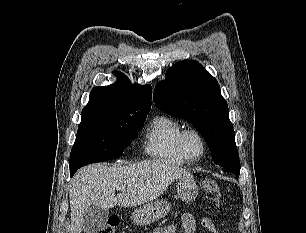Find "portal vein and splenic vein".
<instances>
[{
	"mask_svg": "<svg viewBox=\"0 0 306 233\" xmlns=\"http://www.w3.org/2000/svg\"><path fill=\"white\" fill-rule=\"evenodd\" d=\"M117 189L123 191L125 189V186H119Z\"/></svg>",
	"mask_w": 306,
	"mask_h": 233,
	"instance_id": "portal-vein-and-splenic-vein-1",
	"label": "portal vein and splenic vein"
}]
</instances>
